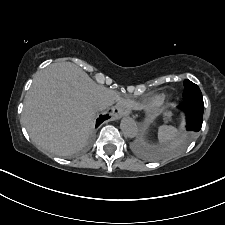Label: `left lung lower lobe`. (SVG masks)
<instances>
[{
  "label": "left lung lower lobe",
  "instance_id": "obj_1",
  "mask_svg": "<svg viewBox=\"0 0 225 225\" xmlns=\"http://www.w3.org/2000/svg\"><path fill=\"white\" fill-rule=\"evenodd\" d=\"M179 108L185 113L187 121V130L190 133L198 132L203 122V101H184Z\"/></svg>",
  "mask_w": 225,
  "mask_h": 225
}]
</instances>
